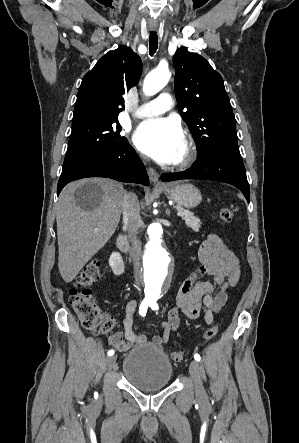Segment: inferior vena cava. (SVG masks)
<instances>
[{
  "mask_svg": "<svg viewBox=\"0 0 299 443\" xmlns=\"http://www.w3.org/2000/svg\"><path fill=\"white\" fill-rule=\"evenodd\" d=\"M123 220L128 226L129 240L133 247L134 277L137 284L140 282L141 271V241L138 239L141 227L140 206L136 194L124 192L122 201Z\"/></svg>",
  "mask_w": 299,
  "mask_h": 443,
  "instance_id": "602c4592",
  "label": "inferior vena cava"
}]
</instances>
